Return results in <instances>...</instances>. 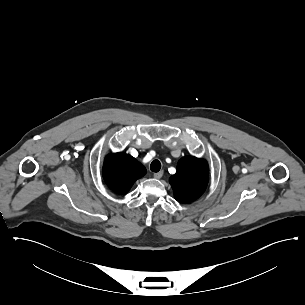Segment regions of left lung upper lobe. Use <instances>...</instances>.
Masks as SVG:
<instances>
[{"label":"left lung upper lobe","mask_w":305,"mask_h":305,"mask_svg":"<svg viewBox=\"0 0 305 305\" xmlns=\"http://www.w3.org/2000/svg\"><path fill=\"white\" fill-rule=\"evenodd\" d=\"M209 178V168L203 159L183 157L179 160L176 174L169 182L178 202L189 203L198 199L205 191Z\"/></svg>","instance_id":"1"}]
</instances>
